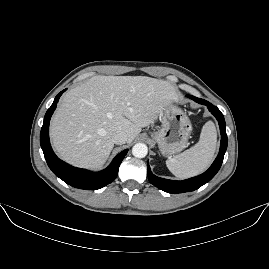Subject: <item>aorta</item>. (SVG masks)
Listing matches in <instances>:
<instances>
[{
	"instance_id": "762f6f07",
	"label": "aorta",
	"mask_w": 269,
	"mask_h": 269,
	"mask_svg": "<svg viewBox=\"0 0 269 269\" xmlns=\"http://www.w3.org/2000/svg\"><path fill=\"white\" fill-rule=\"evenodd\" d=\"M147 146L143 143H137L132 148V154L136 158H144L147 155Z\"/></svg>"
}]
</instances>
